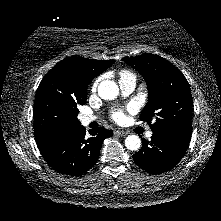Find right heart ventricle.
I'll return each instance as SVG.
<instances>
[{
  "mask_svg": "<svg viewBox=\"0 0 221 221\" xmlns=\"http://www.w3.org/2000/svg\"><path fill=\"white\" fill-rule=\"evenodd\" d=\"M119 77H120V80H121V79H124V78H128V77H133V78H135L134 74H132V73L129 72V71H125V70L120 72Z\"/></svg>",
  "mask_w": 221,
  "mask_h": 221,
  "instance_id": "e07e8e85",
  "label": "right heart ventricle"
}]
</instances>
